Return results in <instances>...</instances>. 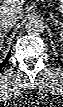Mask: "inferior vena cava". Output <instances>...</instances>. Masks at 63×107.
I'll use <instances>...</instances> for the list:
<instances>
[{
  "mask_svg": "<svg viewBox=\"0 0 63 107\" xmlns=\"http://www.w3.org/2000/svg\"><path fill=\"white\" fill-rule=\"evenodd\" d=\"M17 20V15L2 12L0 14V27L4 29V31H7L16 24Z\"/></svg>",
  "mask_w": 63,
  "mask_h": 107,
  "instance_id": "1",
  "label": "inferior vena cava"
}]
</instances>
